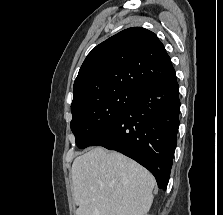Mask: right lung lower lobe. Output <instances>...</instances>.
Masks as SVG:
<instances>
[{
	"label": "right lung lower lobe",
	"mask_w": 223,
	"mask_h": 215,
	"mask_svg": "<svg viewBox=\"0 0 223 215\" xmlns=\"http://www.w3.org/2000/svg\"><path fill=\"white\" fill-rule=\"evenodd\" d=\"M176 75L140 92L121 118L91 146H103L134 159L166 190L179 127Z\"/></svg>",
	"instance_id": "right-lung-lower-lobe-1"
}]
</instances>
